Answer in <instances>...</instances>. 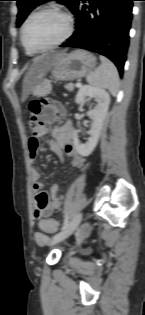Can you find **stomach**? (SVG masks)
Returning <instances> with one entry per match:
<instances>
[{
    "instance_id": "0dacf381",
    "label": "stomach",
    "mask_w": 145,
    "mask_h": 315,
    "mask_svg": "<svg viewBox=\"0 0 145 315\" xmlns=\"http://www.w3.org/2000/svg\"><path fill=\"white\" fill-rule=\"evenodd\" d=\"M96 66V57L85 50L62 54L50 68L52 77L58 81H71L88 76Z\"/></svg>"
}]
</instances>
